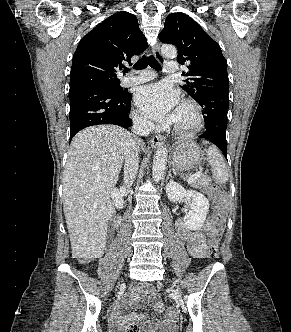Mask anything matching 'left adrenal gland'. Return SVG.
Listing matches in <instances>:
<instances>
[{
    "mask_svg": "<svg viewBox=\"0 0 291 332\" xmlns=\"http://www.w3.org/2000/svg\"><path fill=\"white\" fill-rule=\"evenodd\" d=\"M169 177H171V178H172L171 171L168 173L167 179H168Z\"/></svg>",
    "mask_w": 291,
    "mask_h": 332,
    "instance_id": "left-adrenal-gland-1",
    "label": "left adrenal gland"
}]
</instances>
